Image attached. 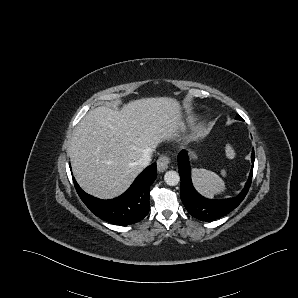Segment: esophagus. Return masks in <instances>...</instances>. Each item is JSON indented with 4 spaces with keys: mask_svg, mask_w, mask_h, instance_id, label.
Masks as SVG:
<instances>
[{
    "mask_svg": "<svg viewBox=\"0 0 298 298\" xmlns=\"http://www.w3.org/2000/svg\"><path fill=\"white\" fill-rule=\"evenodd\" d=\"M170 158L166 155H161L157 160L158 171L163 172L169 168Z\"/></svg>",
    "mask_w": 298,
    "mask_h": 298,
    "instance_id": "34e87169",
    "label": "esophagus"
}]
</instances>
